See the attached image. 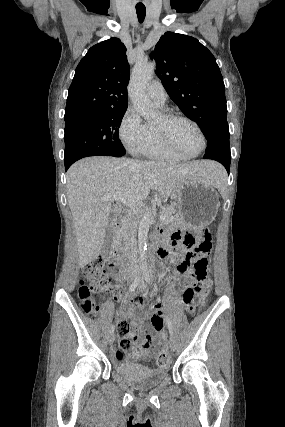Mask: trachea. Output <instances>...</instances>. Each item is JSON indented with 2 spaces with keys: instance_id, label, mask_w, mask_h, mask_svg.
<instances>
[{
  "instance_id": "1",
  "label": "trachea",
  "mask_w": 285,
  "mask_h": 427,
  "mask_svg": "<svg viewBox=\"0 0 285 427\" xmlns=\"http://www.w3.org/2000/svg\"><path fill=\"white\" fill-rule=\"evenodd\" d=\"M137 17L140 23H142L145 19L146 8L145 7H136Z\"/></svg>"
}]
</instances>
